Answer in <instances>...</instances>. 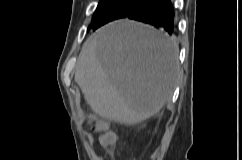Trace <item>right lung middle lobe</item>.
Segmentation results:
<instances>
[{
    "label": "right lung middle lobe",
    "mask_w": 242,
    "mask_h": 160,
    "mask_svg": "<svg viewBox=\"0 0 242 160\" xmlns=\"http://www.w3.org/2000/svg\"><path fill=\"white\" fill-rule=\"evenodd\" d=\"M147 0H100L93 15L92 26L89 29L95 31L102 25L118 19L124 18L134 8L143 4Z\"/></svg>",
    "instance_id": "right-lung-middle-lobe-1"
}]
</instances>
